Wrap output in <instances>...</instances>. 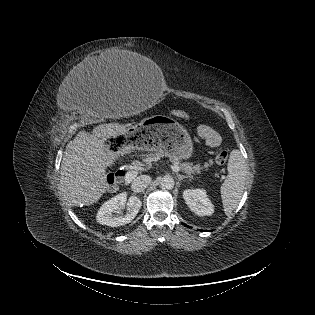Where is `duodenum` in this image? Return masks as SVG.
<instances>
[{
    "label": "duodenum",
    "mask_w": 315,
    "mask_h": 315,
    "mask_svg": "<svg viewBox=\"0 0 315 315\" xmlns=\"http://www.w3.org/2000/svg\"><path fill=\"white\" fill-rule=\"evenodd\" d=\"M125 176H126V172L125 170H122V169L117 170L115 173V179L117 181L122 180L123 178H125Z\"/></svg>",
    "instance_id": "obj_1"
}]
</instances>
